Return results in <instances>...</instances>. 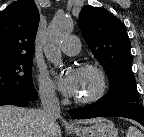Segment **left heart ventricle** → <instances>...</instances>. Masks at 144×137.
<instances>
[{"instance_id":"left-heart-ventricle-1","label":"left heart ventricle","mask_w":144,"mask_h":137,"mask_svg":"<svg viewBox=\"0 0 144 137\" xmlns=\"http://www.w3.org/2000/svg\"><path fill=\"white\" fill-rule=\"evenodd\" d=\"M79 74V87L76 94L77 98H83L91 95L98 86L96 76L90 71H80Z\"/></svg>"}]
</instances>
